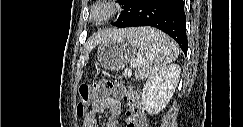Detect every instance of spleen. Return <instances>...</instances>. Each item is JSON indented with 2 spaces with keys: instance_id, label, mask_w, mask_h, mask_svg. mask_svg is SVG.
Wrapping results in <instances>:
<instances>
[{
  "instance_id": "3e777b00",
  "label": "spleen",
  "mask_w": 243,
  "mask_h": 127,
  "mask_svg": "<svg viewBox=\"0 0 243 127\" xmlns=\"http://www.w3.org/2000/svg\"><path fill=\"white\" fill-rule=\"evenodd\" d=\"M126 38L138 49V56L131 64L136 68L137 80L154 75L178 57L177 44L154 28H139Z\"/></svg>"
}]
</instances>
